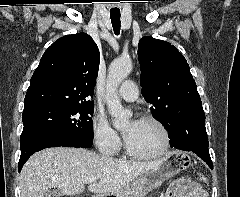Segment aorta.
Masks as SVG:
<instances>
[{
    "instance_id": "1",
    "label": "aorta",
    "mask_w": 240,
    "mask_h": 197,
    "mask_svg": "<svg viewBox=\"0 0 240 197\" xmlns=\"http://www.w3.org/2000/svg\"><path fill=\"white\" fill-rule=\"evenodd\" d=\"M131 70L132 61L129 58L114 60L108 69L105 100L109 113L113 117V126L118 130L123 129L132 117V112L123 108L117 95L119 85L129 75Z\"/></svg>"
}]
</instances>
